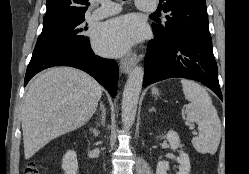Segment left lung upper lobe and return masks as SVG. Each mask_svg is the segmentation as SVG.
Returning <instances> with one entry per match:
<instances>
[{
	"label": "left lung upper lobe",
	"mask_w": 249,
	"mask_h": 174,
	"mask_svg": "<svg viewBox=\"0 0 249 174\" xmlns=\"http://www.w3.org/2000/svg\"><path fill=\"white\" fill-rule=\"evenodd\" d=\"M167 21L152 24L154 35L167 42L211 37L205 0H160Z\"/></svg>",
	"instance_id": "5c2ea615"
}]
</instances>
